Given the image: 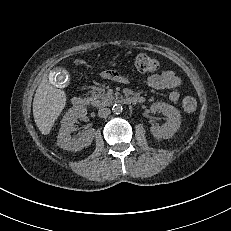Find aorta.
Instances as JSON below:
<instances>
[{"label": "aorta", "mask_w": 231, "mask_h": 231, "mask_svg": "<svg viewBox=\"0 0 231 231\" xmlns=\"http://www.w3.org/2000/svg\"><path fill=\"white\" fill-rule=\"evenodd\" d=\"M123 108H122V105L121 104H114L113 107H112V111L113 113L115 114H120L122 112Z\"/></svg>", "instance_id": "762f6f07"}]
</instances>
